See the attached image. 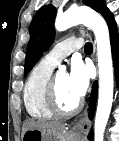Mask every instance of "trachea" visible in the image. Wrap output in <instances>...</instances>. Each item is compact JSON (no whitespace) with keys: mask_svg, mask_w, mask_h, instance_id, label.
Listing matches in <instances>:
<instances>
[{"mask_svg":"<svg viewBox=\"0 0 119 141\" xmlns=\"http://www.w3.org/2000/svg\"><path fill=\"white\" fill-rule=\"evenodd\" d=\"M84 51L85 52H92L93 51V46H92V44L90 42L85 44Z\"/></svg>","mask_w":119,"mask_h":141,"instance_id":"3493384b","label":"trachea"}]
</instances>
